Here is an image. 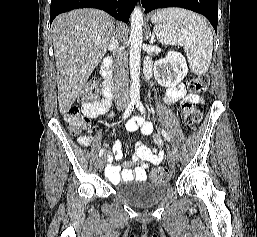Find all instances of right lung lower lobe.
<instances>
[{
	"label": "right lung lower lobe",
	"instance_id": "right-lung-lower-lobe-1",
	"mask_svg": "<svg viewBox=\"0 0 257 237\" xmlns=\"http://www.w3.org/2000/svg\"><path fill=\"white\" fill-rule=\"evenodd\" d=\"M137 0H52L50 24L60 13L78 8H97L106 11L125 23L135 7Z\"/></svg>",
	"mask_w": 257,
	"mask_h": 237
}]
</instances>
